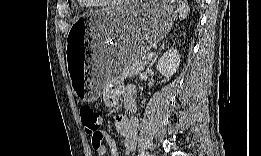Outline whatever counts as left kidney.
Masks as SVG:
<instances>
[{
    "label": "left kidney",
    "instance_id": "1",
    "mask_svg": "<svg viewBox=\"0 0 261 156\" xmlns=\"http://www.w3.org/2000/svg\"><path fill=\"white\" fill-rule=\"evenodd\" d=\"M180 65V54L177 49H170L164 53L157 63V70L165 77H171Z\"/></svg>",
    "mask_w": 261,
    "mask_h": 156
}]
</instances>
